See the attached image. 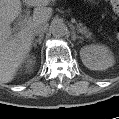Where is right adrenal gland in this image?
I'll use <instances>...</instances> for the list:
<instances>
[{
  "instance_id": "right-adrenal-gland-1",
  "label": "right adrenal gland",
  "mask_w": 119,
  "mask_h": 119,
  "mask_svg": "<svg viewBox=\"0 0 119 119\" xmlns=\"http://www.w3.org/2000/svg\"><path fill=\"white\" fill-rule=\"evenodd\" d=\"M42 40H43V35H39V38L38 39H35L32 43V46L33 47H36L37 43L41 44L42 43Z\"/></svg>"
}]
</instances>
